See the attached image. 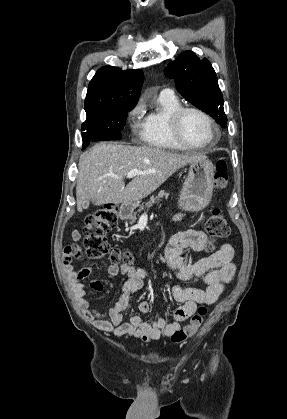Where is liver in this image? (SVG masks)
Instances as JSON below:
<instances>
[{"instance_id": "1", "label": "liver", "mask_w": 287, "mask_h": 419, "mask_svg": "<svg viewBox=\"0 0 287 419\" xmlns=\"http://www.w3.org/2000/svg\"><path fill=\"white\" fill-rule=\"evenodd\" d=\"M206 159L203 154H179L152 146L98 143L79 159L76 187L77 209L85 201L103 204H134L160 187L183 166ZM137 169L149 171L137 175L125 187L124 177Z\"/></svg>"}]
</instances>
